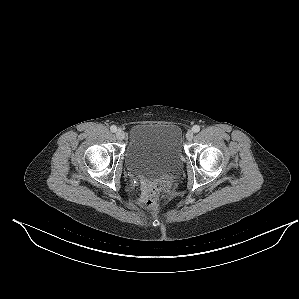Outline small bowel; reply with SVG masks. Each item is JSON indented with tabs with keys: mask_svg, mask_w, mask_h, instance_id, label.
Here are the masks:
<instances>
[{
	"mask_svg": "<svg viewBox=\"0 0 299 299\" xmlns=\"http://www.w3.org/2000/svg\"><path fill=\"white\" fill-rule=\"evenodd\" d=\"M148 185H144L143 187V197H147Z\"/></svg>",
	"mask_w": 299,
	"mask_h": 299,
	"instance_id": "c3829d8e",
	"label": "small bowel"
}]
</instances>
